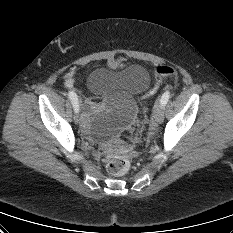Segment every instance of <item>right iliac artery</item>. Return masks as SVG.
Here are the masks:
<instances>
[{
  "instance_id": "82829eb1",
  "label": "right iliac artery",
  "mask_w": 233,
  "mask_h": 233,
  "mask_svg": "<svg viewBox=\"0 0 233 233\" xmlns=\"http://www.w3.org/2000/svg\"><path fill=\"white\" fill-rule=\"evenodd\" d=\"M68 96L72 102L74 110L76 111V109L79 107L78 98H77L76 93L73 91H69Z\"/></svg>"
}]
</instances>
